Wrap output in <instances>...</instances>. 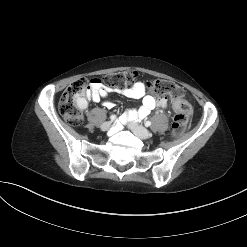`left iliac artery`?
I'll use <instances>...</instances> for the list:
<instances>
[{"label":"left iliac artery","mask_w":247,"mask_h":247,"mask_svg":"<svg viewBox=\"0 0 247 247\" xmlns=\"http://www.w3.org/2000/svg\"><path fill=\"white\" fill-rule=\"evenodd\" d=\"M151 125V122L150 121H146L145 122V126L149 127Z\"/></svg>","instance_id":"left-iliac-artery-1"}]
</instances>
